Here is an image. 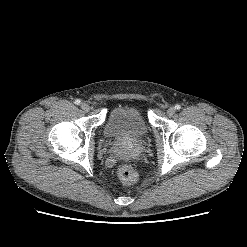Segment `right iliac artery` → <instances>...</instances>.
<instances>
[{
  "label": "right iliac artery",
  "instance_id": "right-iliac-artery-1",
  "mask_svg": "<svg viewBox=\"0 0 247 247\" xmlns=\"http://www.w3.org/2000/svg\"><path fill=\"white\" fill-rule=\"evenodd\" d=\"M81 101L79 99L75 100V104L79 105Z\"/></svg>",
  "mask_w": 247,
  "mask_h": 247
}]
</instances>
